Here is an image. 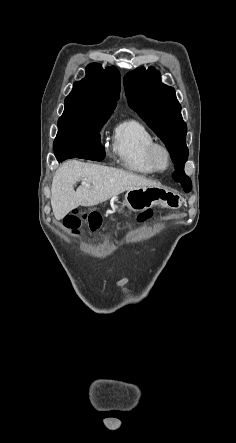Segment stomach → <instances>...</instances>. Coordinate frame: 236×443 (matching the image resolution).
I'll return each instance as SVG.
<instances>
[{
	"mask_svg": "<svg viewBox=\"0 0 236 443\" xmlns=\"http://www.w3.org/2000/svg\"><path fill=\"white\" fill-rule=\"evenodd\" d=\"M181 198L161 186L136 187L125 194L123 206L132 211H144L155 205H161L170 209H178L181 206ZM118 211L122 210L116 206Z\"/></svg>",
	"mask_w": 236,
	"mask_h": 443,
	"instance_id": "obj_1",
	"label": "stomach"
}]
</instances>
